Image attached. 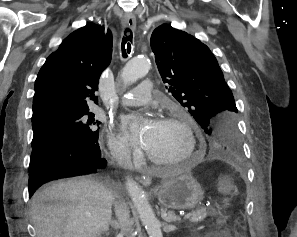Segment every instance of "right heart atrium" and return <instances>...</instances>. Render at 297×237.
Here are the masks:
<instances>
[{"label":"right heart atrium","mask_w":297,"mask_h":237,"mask_svg":"<svg viewBox=\"0 0 297 237\" xmlns=\"http://www.w3.org/2000/svg\"><path fill=\"white\" fill-rule=\"evenodd\" d=\"M108 145L110 155L121 163L135 160L138 156V150L122 136L111 134Z\"/></svg>","instance_id":"d8ad5b80"}]
</instances>
